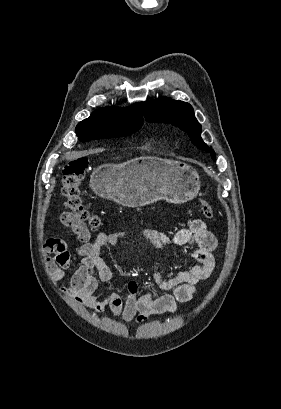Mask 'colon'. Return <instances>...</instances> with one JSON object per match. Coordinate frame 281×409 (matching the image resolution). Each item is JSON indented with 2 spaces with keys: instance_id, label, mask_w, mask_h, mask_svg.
Masks as SVG:
<instances>
[{
  "instance_id": "obj_1",
  "label": "colon",
  "mask_w": 281,
  "mask_h": 409,
  "mask_svg": "<svg viewBox=\"0 0 281 409\" xmlns=\"http://www.w3.org/2000/svg\"><path fill=\"white\" fill-rule=\"evenodd\" d=\"M89 161L84 156L69 159L63 167L62 194L65 197L64 206L74 216L75 224L81 227L87 223L98 227L100 221L96 214L84 203L82 193V180L88 168ZM201 213L207 218H213V209L205 200L200 201Z\"/></svg>"
}]
</instances>
